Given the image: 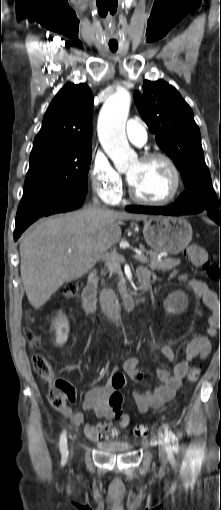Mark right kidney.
<instances>
[{
  "mask_svg": "<svg viewBox=\"0 0 221 510\" xmlns=\"http://www.w3.org/2000/svg\"><path fill=\"white\" fill-rule=\"evenodd\" d=\"M53 328L55 329V332H56L55 344L57 346L64 345L67 342V339H68V334H69V331H70V326H69V322L64 317L62 312L58 313L57 318L53 322Z\"/></svg>",
  "mask_w": 221,
  "mask_h": 510,
  "instance_id": "1",
  "label": "right kidney"
}]
</instances>
